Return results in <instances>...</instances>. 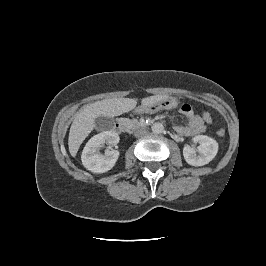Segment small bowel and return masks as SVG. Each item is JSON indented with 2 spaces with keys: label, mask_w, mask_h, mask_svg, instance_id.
<instances>
[{
  "label": "small bowel",
  "mask_w": 266,
  "mask_h": 266,
  "mask_svg": "<svg viewBox=\"0 0 266 266\" xmlns=\"http://www.w3.org/2000/svg\"><path fill=\"white\" fill-rule=\"evenodd\" d=\"M180 113L186 117L187 125L175 126V131L181 136H194L202 133L205 130L203 119L194 112L190 104H183L180 108Z\"/></svg>",
  "instance_id": "small-bowel-1"
}]
</instances>
